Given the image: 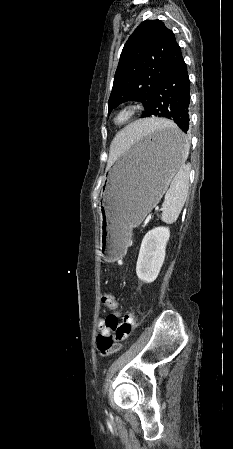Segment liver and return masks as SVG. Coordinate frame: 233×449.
I'll use <instances>...</instances> for the list:
<instances>
[{"label":"liver","mask_w":233,"mask_h":449,"mask_svg":"<svg viewBox=\"0 0 233 449\" xmlns=\"http://www.w3.org/2000/svg\"><path fill=\"white\" fill-rule=\"evenodd\" d=\"M168 124H170V121L165 119H143L128 125L119 133H113L110 147L111 161H116L130 142H137L143 135Z\"/></svg>","instance_id":"1"}]
</instances>
